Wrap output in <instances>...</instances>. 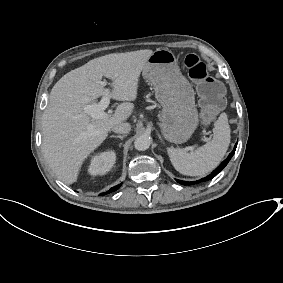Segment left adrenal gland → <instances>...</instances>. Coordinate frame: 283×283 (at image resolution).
<instances>
[{
    "label": "left adrenal gland",
    "mask_w": 283,
    "mask_h": 283,
    "mask_svg": "<svg viewBox=\"0 0 283 283\" xmlns=\"http://www.w3.org/2000/svg\"><path fill=\"white\" fill-rule=\"evenodd\" d=\"M156 133H157V135H158L160 141L163 142V139L161 138V135L159 134V132H158L157 130H156Z\"/></svg>",
    "instance_id": "a2214340"
}]
</instances>
